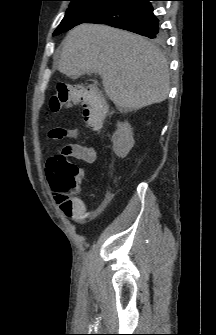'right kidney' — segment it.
I'll use <instances>...</instances> for the list:
<instances>
[{"label":"right kidney","mask_w":216,"mask_h":335,"mask_svg":"<svg viewBox=\"0 0 216 335\" xmlns=\"http://www.w3.org/2000/svg\"><path fill=\"white\" fill-rule=\"evenodd\" d=\"M112 142L114 153L118 157H126L135 144L133 129L127 121L124 123H117V130L112 136Z\"/></svg>","instance_id":"right-kidney-1"}]
</instances>
